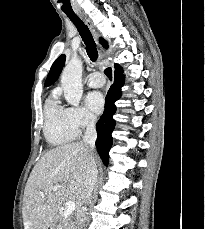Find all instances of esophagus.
Wrapping results in <instances>:
<instances>
[{"label": "esophagus", "mask_w": 205, "mask_h": 229, "mask_svg": "<svg viewBox=\"0 0 205 229\" xmlns=\"http://www.w3.org/2000/svg\"><path fill=\"white\" fill-rule=\"evenodd\" d=\"M84 19H85L86 24L90 28L92 34L97 39L98 38V33L96 32V30H95L94 26L92 25L91 21L89 19H87L86 17Z\"/></svg>", "instance_id": "esophagus-1"}]
</instances>
